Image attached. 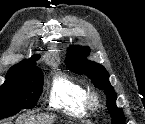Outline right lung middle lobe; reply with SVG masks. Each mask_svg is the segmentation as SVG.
Listing matches in <instances>:
<instances>
[{
	"mask_svg": "<svg viewBox=\"0 0 145 124\" xmlns=\"http://www.w3.org/2000/svg\"><path fill=\"white\" fill-rule=\"evenodd\" d=\"M43 74L40 68L6 77L0 87V119L17 114L21 109H31L36 106L42 92Z\"/></svg>",
	"mask_w": 145,
	"mask_h": 124,
	"instance_id": "right-lung-middle-lobe-1",
	"label": "right lung middle lobe"
}]
</instances>
